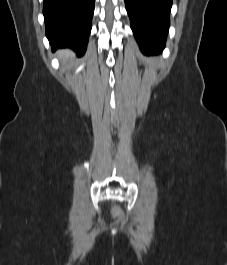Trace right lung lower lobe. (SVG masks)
Listing matches in <instances>:
<instances>
[{
  "instance_id": "right-lung-lower-lobe-1",
  "label": "right lung lower lobe",
  "mask_w": 227,
  "mask_h": 265,
  "mask_svg": "<svg viewBox=\"0 0 227 265\" xmlns=\"http://www.w3.org/2000/svg\"><path fill=\"white\" fill-rule=\"evenodd\" d=\"M95 0H44L46 36L53 50L69 47L86 51Z\"/></svg>"
}]
</instances>
